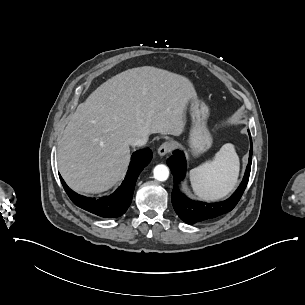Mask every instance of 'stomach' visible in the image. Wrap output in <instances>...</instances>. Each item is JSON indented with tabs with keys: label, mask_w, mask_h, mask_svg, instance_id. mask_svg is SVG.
<instances>
[{
	"label": "stomach",
	"mask_w": 305,
	"mask_h": 305,
	"mask_svg": "<svg viewBox=\"0 0 305 305\" xmlns=\"http://www.w3.org/2000/svg\"><path fill=\"white\" fill-rule=\"evenodd\" d=\"M192 115L195 120V127L191 135V145L195 152H202L211 145V136L205 129V118L208 114V109L205 105L200 104L197 100L192 105Z\"/></svg>",
	"instance_id": "0dacf381"
}]
</instances>
